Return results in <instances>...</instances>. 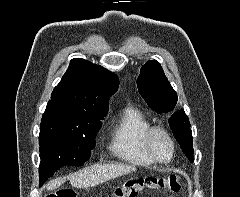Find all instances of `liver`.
<instances>
[{
  "instance_id": "liver-1",
  "label": "liver",
  "mask_w": 240,
  "mask_h": 197,
  "mask_svg": "<svg viewBox=\"0 0 240 197\" xmlns=\"http://www.w3.org/2000/svg\"><path fill=\"white\" fill-rule=\"evenodd\" d=\"M135 170L136 167L132 165L104 164L84 168L79 172L71 174L68 179L75 188H89L118 176L134 172ZM63 182H65V178H57L50 181L46 185V188L47 190H54Z\"/></svg>"
}]
</instances>
